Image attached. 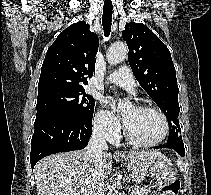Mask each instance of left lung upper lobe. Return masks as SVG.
<instances>
[{
    "label": "left lung upper lobe",
    "instance_id": "obj_1",
    "mask_svg": "<svg viewBox=\"0 0 211 195\" xmlns=\"http://www.w3.org/2000/svg\"><path fill=\"white\" fill-rule=\"evenodd\" d=\"M122 37L129 48V64L142 88L165 114L170 129L167 143L182 141L178 85L167 46L144 24L125 25Z\"/></svg>",
    "mask_w": 211,
    "mask_h": 195
}]
</instances>
